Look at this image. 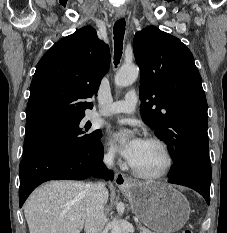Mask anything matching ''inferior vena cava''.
<instances>
[{"label": "inferior vena cava", "mask_w": 227, "mask_h": 233, "mask_svg": "<svg viewBox=\"0 0 227 233\" xmlns=\"http://www.w3.org/2000/svg\"><path fill=\"white\" fill-rule=\"evenodd\" d=\"M113 155L108 154L104 157V163L108 168L112 167ZM105 184L99 181L93 184H88L86 188V233H102L106 217L103 207V193Z\"/></svg>", "instance_id": "obj_1"}]
</instances>
